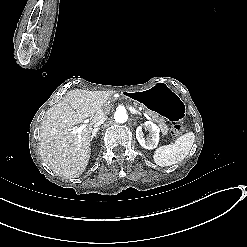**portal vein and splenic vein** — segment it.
Here are the masks:
<instances>
[{
	"instance_id": "18ae733b",
	"label": "portal vein and splenic vein",
	"mask_w": 247,
	"mask_h": 247,
	"mask_svg": "<svg viewBox=\"0 0 247 247\" xmlns=\"http://www.w3.org/2000/svg\"><path fill=\"white\" fill-rule=\"evenodd\" d=\"M141 114L142 115H145L146 116V119H148L149 121H153V118H151L148 113L144 112V110H141ZM88 122H89V119L84 120V123L85 124L88 123ZM85 124H83V125H81L79 127H76L74 130H67V133H75V134H78L79 143H82L81 133L84 130V128L86 127Z\"/></svg>"
}]
</instances>
